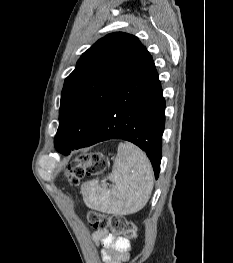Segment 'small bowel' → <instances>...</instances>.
Segmentation results:
<instances>
[{"instance_id": "small-bowel-1", "label": "small bowel", "mask_w": 233, "mask_h": 263, "mask_svg": "<svg viewBox=\"0 0 233 263\" xmlns=\"http://www.w3.org/2000/svg\"><path fill=\"white\" fill-rule=\"evenodd\" d=\"M92 239L102 245L104 263H124L130 258L131 245L123 236L101 229L92 234Z\"/></svg>"}]
</instances>
